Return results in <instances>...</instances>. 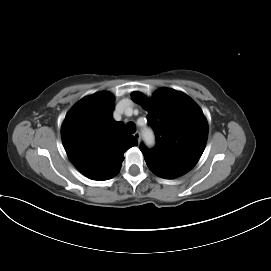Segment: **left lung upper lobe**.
Wrapping results in <instances>:
<instances>
[{
    "instance_id": "1",
    "label": "left lung upper lobe",
    "mask_w": 271,
    "mask_h": 271,
    "mask_svg": "<svg viewBox=\"0 0 271 271\" xmlns=\"http://www.w3.org/2000/svg\"><path fill=\"white\" fill-rule=\"evenodd\" d=\"M132 99L148 111L156 134L154 149L140 146L145 160L184 173L192 169L208 135V124L198 105L186 94L168 88L159 89L151 99L133 92Z\"/></svg>"
}]
</instances>
